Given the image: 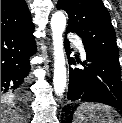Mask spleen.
Segmentation results:
<instances>
[{
    "mask_svg": "<svg viewBox=\"0 0 122 123\" xmlns=\"http://www.w3.org/2000/svg\"><path fill=\"white\" fill-rule=\"evenodd\" d=\"M118 114L99 103H83L74 113L73 123H116Z\"/></svg>",
    "mask_w": 122,
    "mask_h": 123,
    "instance_id": "spleen-1",
    "label": "spleen"
}]
</instances>
